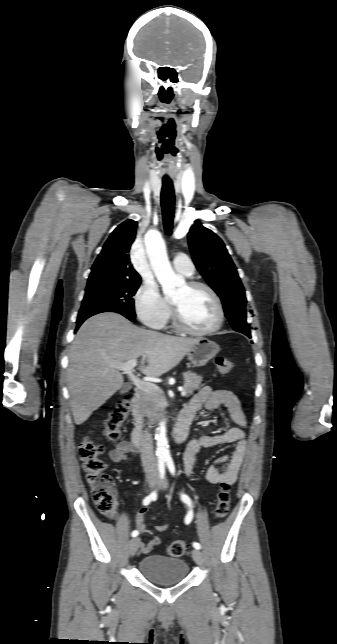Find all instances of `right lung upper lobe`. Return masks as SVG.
Instances as JSON below:
<instances>
[{
  "label": "right lung upper lobe",
  "instance_id": "right-lung-upper-lobe-1",
  "mask_svg": "<svg viewBox=\"0 0 337 644\" xmlns=\"http://www.w3.org/2000/svg\"><path fill=\"white\" fill-rule=\"evenodd\" d=\"M137 222L127 220L109 236L91 268L88 282L141 281L139 274L130 264L129 251L136 235Z\"/></svg>",
  "mask_w": 337,
  "mask_h": 644
}]
</instances>
